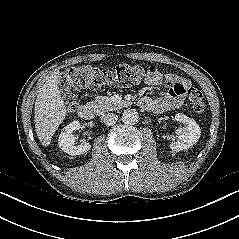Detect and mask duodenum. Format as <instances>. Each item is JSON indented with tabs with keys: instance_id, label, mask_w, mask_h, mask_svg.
I'll use <instances>...</instances> for the list:
<instances>
[{
	"instance_id": "410a0bca",
	"label": "duodenum",
	"mask_w": 239,
	"mask_h": 239,
	"mask_svg": "<svg viewBox=\"0 0 239 239\" xmlns=\"http://www.w3.org/2000/svg\"><path fill=\"white\" fill-rule=\"evenodd\" d=\"M78 115L84 120H91L94 115L92 106L88 104H82L78 107Z\"/></svg>"
}]
</instances>
